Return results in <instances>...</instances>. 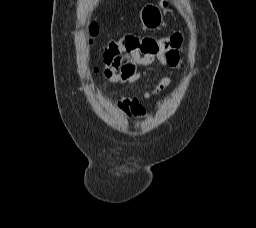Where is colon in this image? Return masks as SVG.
Wrapping results in <instances>:
<instances>
[{
    "label": "colon",
    "instance_id": "1",
    "mask_svg": "<svg viewBox=\"0 0 256 228\" xmlns=\"http://www.w3.org/2000/svg\"><path fill=\"white\" fill-rule=\"evenodd\" d=\"M89 33L92 37L97 35L98 25L96 23L90 25ZM162 45L170 49L179 50L183 46V39L179 34H173L161 41L150 37L139 38L137 36L127 35L107 44L103 53V62L104 65L107 66L115 65L122 55L132 51H139L145 54H157Z\"/></svg>",
    "mask_w": 256,
    "mask_h": 228
}]
</instances>
